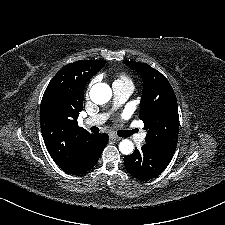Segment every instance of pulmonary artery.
Here are the masks:
<instances>
[{
	"instance_id": "obj_1",
	"label": "pulmonary artery",
	"mask_w": 225,
	"mask_h": 225,
	"mask_svg": "<svg viewBox=\"0 0 225 225\" xmlns=\"http://www.w3.org/2000/svg\"><path fill=\"white\" fill-rule=\"evenodd\" d=\"M134 87L131 85H123V84H113V92H114V103L116 106L124 103L133 93ZM108 115L107 114H97L92 117L86 119L84 121V125L86 126H97L103 124ZM128 133L131 135L134 133L132 130H129ZM145 133H140L136 135V142L138 144H143L145 140Z\"/></svg>"
}]
</instances>
